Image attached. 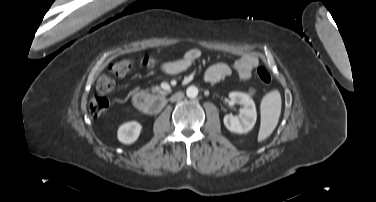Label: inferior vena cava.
Instances as JSON below:
<instances>
[{
    "mask_svg": "<svg viewBox=\"0 0 376 202\" xmlns=\"http://www.w3.org/2000/svg\"><path fill=\"white\" fill-rule=\"evenodd\" d=\"M183 93H177L175 96H173L172 101L179 100L183 97Z\"/></svg>",
    "mask_w": 376,
    "mask_h": 202,
    "instance_id": "inferior-vena-cava-1",
    "label": "inferior vena cava"
}]
</instances>
